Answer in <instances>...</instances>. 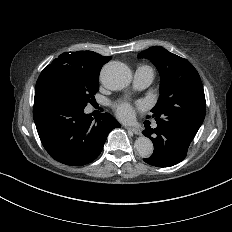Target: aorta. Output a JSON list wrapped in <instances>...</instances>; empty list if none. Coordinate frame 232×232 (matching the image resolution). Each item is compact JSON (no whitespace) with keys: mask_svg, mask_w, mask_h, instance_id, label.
<instances>
[{"mask_svg":"<svg viewBox=\"0 0 232 232\" xmlns=\"http://www.w3.org/2000/svg\"><path fill=\"white\" fill-rule=\"evenodd\" d=\"M100 79L102 84L108 89L121 90L130 84L132 73L124 63L111 61L102 68ZM134 145L142 158L150 157L153 153L154 146L148 137H138Z\"/></svg>","mask_w":232,"mask_h":232,"instance_id":"762f6f07","label":"aorta"}]
</instances>
